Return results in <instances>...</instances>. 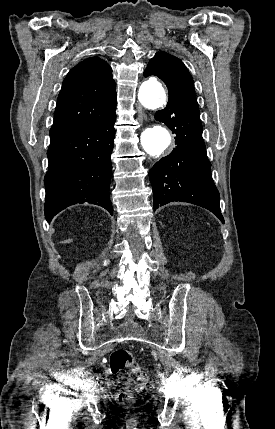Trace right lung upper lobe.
<instances>
[{"instance_id":"right-lung-upper-lobe-1","label":"right lung upper lobe","mask_w":275,"mask_h":429,"mask_svg":"<svg viewBox=\"0 0 275 429\" xmlns=\"http://www.w3.org/2000/svg\"><path fill=\"white\" fill-rule=\"evenodd\" d=\"M116 92L111 67L98 57L72 68L58 96L50 136L115 115Z\"/></svg>"}]
</instances>
